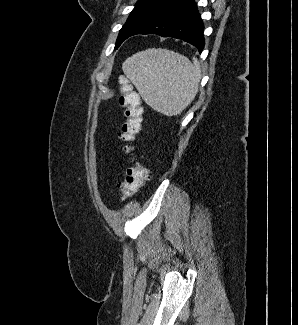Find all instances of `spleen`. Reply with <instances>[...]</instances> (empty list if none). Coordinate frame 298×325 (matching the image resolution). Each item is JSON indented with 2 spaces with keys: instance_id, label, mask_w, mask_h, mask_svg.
<instances>
[{
  "instance_id": "obj_1",
  "label": "spleen",
  "mask_w": 298,
  "mask_h": 325,
  "mask_svg": "<svg viewBox=\"0 0 298 325\" xmlns=\"http://www.w3.org/2000/svg\"><path fill=\"white\" fill-rule=\"evenodd\" d=\"M122 70L143 100L166 116L180 114L194 100L201 78L198 58L192 62L168 48H147L122 62Z\"/></svg>"
}]
</instances>
